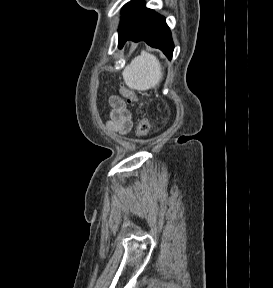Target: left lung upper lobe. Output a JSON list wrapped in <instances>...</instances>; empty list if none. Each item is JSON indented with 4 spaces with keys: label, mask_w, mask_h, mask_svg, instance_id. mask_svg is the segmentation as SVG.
Returning <instances> with one entry per match:
<instances>
[{
    "label": "left lung upper lobe",
    "mask_w": 273,
    "mask_h": 288,
    "mask_svg": "<svg viewBox=\"0 0 273 288\" xmlns=\"http://www.w3.org/2000/svg\"><path fill=\"white\" fill-rule=\"evenodd\" d=\"M127 5H128V4H126V5L123 7V11L126 9Z\"/></svg>",
    "instance_id": "obj_1"
}]
</instances>
